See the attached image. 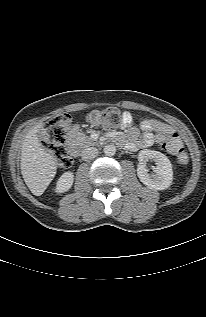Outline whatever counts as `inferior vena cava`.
I'll use <instances>...</instances> for the list:
<instances>
[{"label":"inferior vena cava","instance_id":"inferior-vena-cava-1","mask_svg":"<svg viewBox=\"0 0 206 317\" xmlns=\"http://www.w3.org/2000/svg\"><path fill=\"white\" fill-rule=\"evenodd\" d=\"M98 155V149L95 147H86L81 152V158L84 161L92 160Z\"/></svg>","mask_w":206,"mask_h":317}]
</instances>
